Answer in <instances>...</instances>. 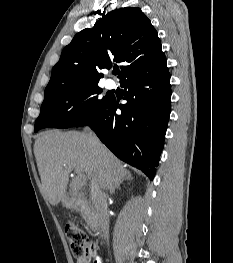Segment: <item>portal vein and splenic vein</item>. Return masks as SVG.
I'll return each instance as SVG.
<instances>
[{"label": "portal vein and splenic vein", "instance_id": "portal-vein-and-splenic-vein-1", "mask_svg": "<svg viewBox=\"0 0 233 263\" xmlns=\"http://www.w3.org/2000/svg\"><path fill=\"white\" fill-rule=\"evenodd\" d=\"M76 172L78 185H85L87 183V177L79 170H76Z\"/></svg>", "mask_w": 233, "mask_h": 263}]
</instances>
